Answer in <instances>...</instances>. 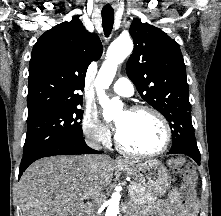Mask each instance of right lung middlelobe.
I'll use <instances>...</instances> for the list:
<instances>
[{
	"instance_id": "right-lung-middle-lobe-1",
	"label": "right lung middle lobe",
	"mask_w": 221,
	"mask_h": 216,
	"mask_svg": "<svg viewBox=\"0 0 221 216\" xmlns=\"http://www.w3.org/2000/svg\"><path fill=\"white\" fill-rule=\"evenodd\" d=\"M79 105L40 112L27 119L23 156L55 142L82 137Z\"/></svg>"
}]
</instances>
